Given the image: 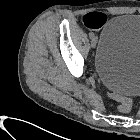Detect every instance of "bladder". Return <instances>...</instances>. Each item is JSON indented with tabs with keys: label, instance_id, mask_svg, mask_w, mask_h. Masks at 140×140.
<instances>
[{
	"label": "bladder",
	"instance_id": "obj_1",
	"mask_svg": "<svg viewBox=\"0 0 140 140\" xmlns=\"http://www.w3.org/2000/svg\"><path fill=\"white\" fill-rule=\"evenodd\" d=\"M94 66L104 87L121 96L140 94V14H122L104 26Z\"/></svg>",
	"mask_w": 140,
	"mask_h": 140
}]
</instances>
